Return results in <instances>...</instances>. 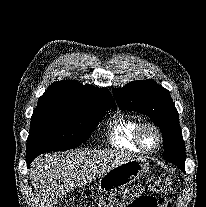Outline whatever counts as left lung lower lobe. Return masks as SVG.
Listing matches in <instances>:
<instances>
[{"mask_svg":"<svg viewBox=\"0 0 206 207\" xmlns=\"http://www.w3.org/2000/svg\"><path fill=\"white\" fill-rule=\"evenodd\" d=\"M180 169H181L183 172H185V169H184V168L180 167Z\"/></svg>","mask_w":206,"mask_h":207,"instance_id":"0a47b994","label":"left lung lower lobe"}]
</instances>
